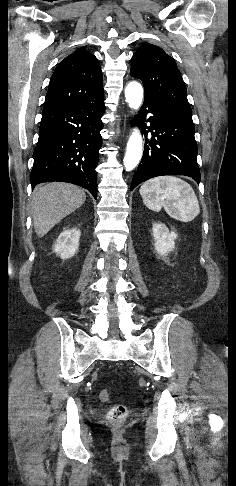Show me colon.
Instances as JSON below:
<instances>
[{
  "label": "colon",
  "instance_id": "5ec220e1",
  "mask_svg": "<svg viewBox=\"0 0 236 486\" xmlns=\"http://www.w3.org/2000/svg\"><path fill=\"white\" fill-rule=\"evenodd\" d=\"M110 393L108 390L104 389L98 393V399L101 402L108 401ZM128 416V408L124 405H115L108 412V419L117 425L122 424Z\"/></svg>",
  "mask_w": 236,
  "mask_h": 486
}]
</instances>
